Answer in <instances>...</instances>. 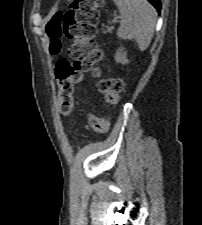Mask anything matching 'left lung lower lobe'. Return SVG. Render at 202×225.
I'll return each instance as SVG.
<instances>
[{
    "label": "left lung lower lobe",
    "instance_id": "0a47b994",
    "mask_svg": "<svg viewBox=\"0 0 202 225\" xmlns=\"http://www.w3.org/2000/svg\"><path fill=\"white\" fill-rule=\"evenodd\" d=\"M158 11V13H160V9H161V2L160 0H148Z\"/></svg>",
    "mask_w": 202,
    "mask_h": 225
}]
</instances>
